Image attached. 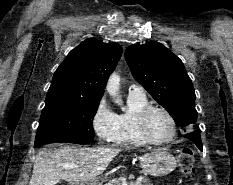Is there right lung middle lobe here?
Listing matches in <instances>:
<instances>
[{"label": "right lung middle lobe", "mask_w": 233, "mask_h": 185, "mask_svg": "<svg viewBox=\"0 0 233 185\" xmlns=\"http://www.w3.org/2000/svg\"><path fill=\"white\" fill-rule=\"evenodd\" d=\"M101 99L47 94L35 146L52 142L89 144L94 139L92 119Z\"/></svg>", "instance_id": "1"}]
</instances>
